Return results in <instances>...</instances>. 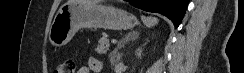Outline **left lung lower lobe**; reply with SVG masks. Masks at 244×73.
<instances>
[{"label":"left lung lower lobe","mask_w":244,"mask_h":73,"mask_svg":"<svg viewBox=\"0 0 244 73\" xmlns=\"http://www.w3.org/2000/svg\"><path fill=\"white\" fill-rule=\"evenodd\" d=\"M142 10L167 16L177 28L185 14L189 0H125Z\"/></svg>","instance_id":"0a47b994"}]
</instances>
